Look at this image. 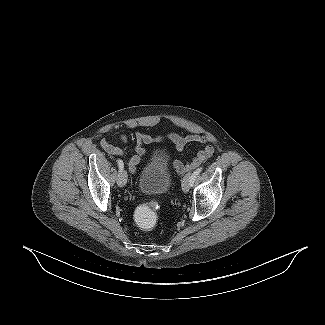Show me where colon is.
<instances>
[{
    "label": "colon",
    "instance_id": "colon-1",
    "mask_svg": "<svg viewBox=\"0 0 325 325\" xmlns=\"http://www.w3.org/2000/svg\"><path fill=\"white\" fill-rule=\"evenodd\" d=\"M134 220L142 230L152 229L158 220L157 207L155 203L149 201L140 205L134 213Z\"/></svg>",
    "mask_w": 325,
    "mask_h": 325
}]
</instances>
